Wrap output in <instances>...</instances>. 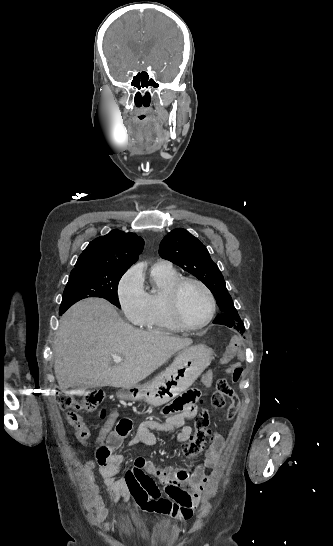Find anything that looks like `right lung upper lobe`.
I'll list each match as a JSON object with an SVG mask.
<instances>
[{"label":"right lung upper lobe","mask_w":333,"mask_h":546,"mask_svg":"<svg viewBox=\"0 0 333 546\" xmlns=\"http://www.w3.org/2000/svg\"><path fill=\"white\" fill-rule=\"evenodd\" d=\"M144 240L135 233L112 230L94 239L79 256L71 275L82 274L92 267L127 270L138 260Z\"/></svg>","instance_id":"1"}]
</instances>
